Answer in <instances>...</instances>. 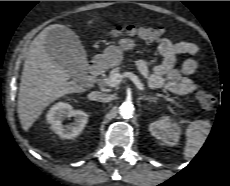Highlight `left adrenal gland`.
<instances>
[{
	"label": "left adrenal gland",
	"mask_w": 230,
	"mask_h": 186,
	"mask_svg": "<svg viewBox=\"0 0 230 186\" xmlns=\"http://www.w3.org/2000/svg\"><path fill=\"white\" fill-rule=\"evenodd\" d=\"M140 99L145 100V101H151V100H156L157 98L156 97H145V96H143Z\"/></svg>",
	"instance_id": "1"
}]
</instances>
